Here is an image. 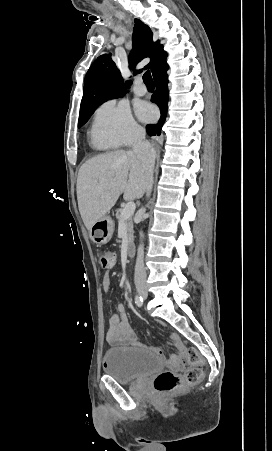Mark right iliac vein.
Masks as SVG:
<instances>
[{"mask_svg":"<svg viewBox=\"0 0 272 451\" xmlns=\"http://www.w3.org/2000/svg\"><path fill=\"white\" fill-rule=\"evenodd\" d=\"M138 292H139V294L142 296V297H146L147 296V290L145 289V288H140L139 290H138Z\"/></svg>","mask_w":272,"mask_h":451,"instance_id":"right-iliac-vein-1","label":"right iliac vein"}]
</instances>
